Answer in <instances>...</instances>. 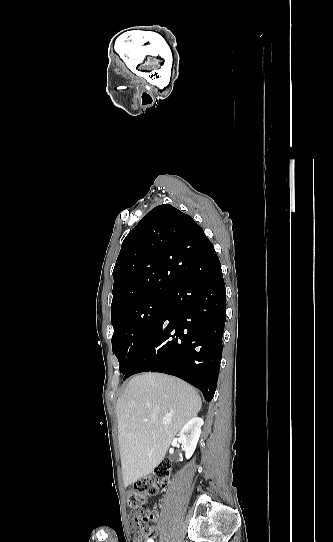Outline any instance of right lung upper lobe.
I'll return each mask as SVG.
<instances>
[{"mask_svg":"<svg viewBox=\"0 0 333 542\" xmlns=\"http://www.w3.org/2000/svg\"><path fill=\"white\" fill-rule=\"evenodd\" d=\"M211 244L191 216L171 205L153 208L127 235L113 269L111 317L168 293L184 274L170 254Z\"/></svg>","mask_w":333,"mask_h":542,"instance_id":"obj_1","label":"right lung upper lobe"}]
</instances>
